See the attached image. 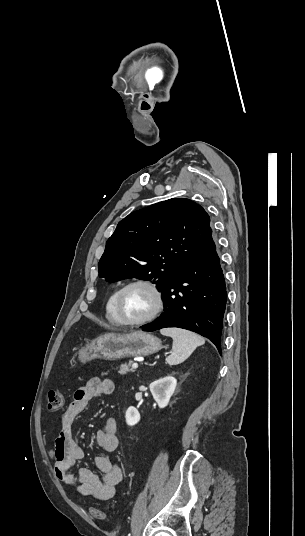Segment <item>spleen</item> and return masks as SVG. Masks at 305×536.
Listing matches in <instances>:
<instances>
[{"label":"spleen","mask_w":305,"mask_h":536,"mask_svg":"<svg viewBox=\"0 0 305 536\" xmlns=\"http://www.w3.org/2000/svg\"><path fill=\"white\" fill-rule=\"evenodd\" d=\"M160 332L162 336H170L173 340L172 354L166 358V364L169 366L182 364L198 346L205 344L204 338L197 336L194 332L181 330V328H164Z\"/></svg>","instance_id":"spleen-1"}]
</instances>
